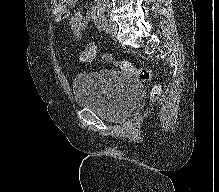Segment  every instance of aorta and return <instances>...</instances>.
<instances>
[{"instance_id":"aorta-1","label":"aorta","mask_w":219,"mask_h":192,"mask_svg":"<svg viewBox=\"0 0 219 192\" xmlns=\"http://www.w3.org/2000/svg\"><path fill=\"white\" fill-rule=\"evenodd\" d=\"M97 2V4L102 5L104 3H106L108 0H95Z\"/></svg>"}]
</instances>
